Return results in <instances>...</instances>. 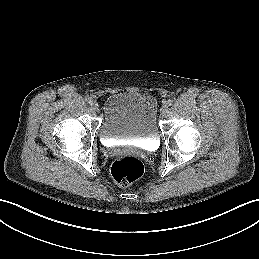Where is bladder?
I'll list each match as a JSON object with an SVG mask.
<instances>
[{"mask_svg":"<svg viewBox=\"0 0 259 259\" xmlns=\"http://www.w3.org/2000/svg\"><path fill=\"white\" fill-rule=\"evenodd\" d=\"M158 105L149 93L126 91L107 96L102 105L99 137L103 142L149 143L158 139Z\"/></svg>","mask_w":259,"mask_h":259,"instance_id":"obj_1","label":"bladder"}]
</instances>
